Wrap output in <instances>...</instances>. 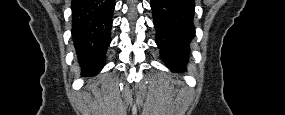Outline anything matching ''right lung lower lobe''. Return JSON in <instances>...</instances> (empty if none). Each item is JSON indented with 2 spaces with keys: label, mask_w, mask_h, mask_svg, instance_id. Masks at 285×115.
I'll return each instance as SVG.
<instances>
[{
  "label": "right lung lower lobe",
  "mask_w": 285,
  "mask_h": 115,
  "mask_svg": "<svg viewBox=\"0 0 285 115\" xmlns=\"http://www.w3.org/2000/svg\"><path fill=\"white\" fill-rule=\"evenodd\" d=\"M72 39L84 73H96L105 63L110 44L114 0H73Z\"/></svg>",
  "instance_id": "1"
}]
</instances>
